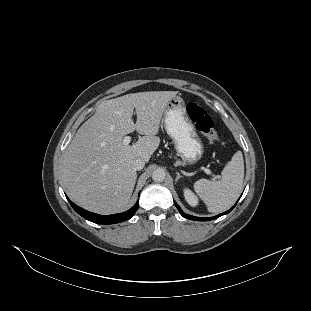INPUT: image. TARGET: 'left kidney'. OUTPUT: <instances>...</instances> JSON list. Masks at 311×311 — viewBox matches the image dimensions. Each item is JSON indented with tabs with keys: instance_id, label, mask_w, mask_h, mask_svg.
<instances>
[{
	"instance_id": "5707ae66",
	"label": "left kidney",
	"mask_w": 311,
	"mask_h": 311,
	"mask_svg": "<svg viewBox=\"0 0 311 311\" xmlns=\"http://www.w3.org/2000/svg\"><path fill=\"white\" fill-rule=\"evenodd\" d=\"M184 195H185L186 201L190 205L194 206L197 203L195 196L190 191H186Z\"/></svg>"
}]
</instances>
